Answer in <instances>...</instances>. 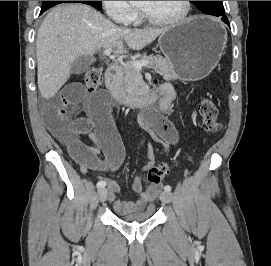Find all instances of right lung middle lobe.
Masks as SVG:
<instances>
[{
	"label": "right lung middle lobe",
	"instance_id": "dd1d6c3e",
	"mask_svg": "<svg viewBox=\"0 0 271 266\" xmlns=\"http://www.w3.org/2000/svg\"><path fill=\"white\" fill-rule=\"evenodd\" d=\"M70 2H80V3L88 4L98 10H100L102 7L101 1H43L41 11L44 12L48 10L49 8L60 3H70Z\"/></svg>",
	"mask_w": 271,
	"mask_h": 266
}]
</instances>
